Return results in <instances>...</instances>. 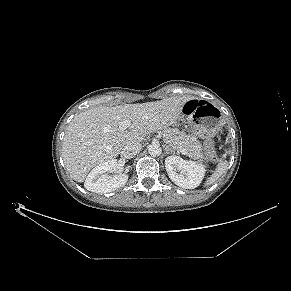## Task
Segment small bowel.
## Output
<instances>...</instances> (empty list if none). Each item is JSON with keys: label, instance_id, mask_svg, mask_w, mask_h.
<instances>
[{"label": "small bowel", "instance_id": "obj_1", "mask_svg": "<svg viewBox=\"0 0 291 291\" xmlns=\"http://www.w3.org/2000/svg\"><path fill=\"white\" fill-rule=\"evenodd\" d=\"M197 105L198 102L195 99L186 100L183 104V111L185 113H191L196 109Z\"/></svg>", "mask_w": 291, "mask_h": 291}]
</instances>
